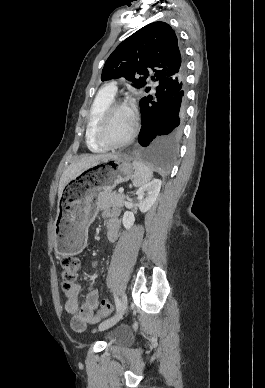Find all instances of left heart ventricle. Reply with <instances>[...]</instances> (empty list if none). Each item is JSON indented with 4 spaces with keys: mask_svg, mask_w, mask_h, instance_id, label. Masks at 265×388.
<instances>
[{
    "mask_svg": "<svg viewBox=\"0 0 265 388\" xmlns=\"http://www.w3.org/2000/svg\"><path fill=\"white\" fill-rule=\"evenodd\" d=\"M132 120L127 109H116L110 112L103 124L102 135L109 141H118L126 136Z\"/></svg>",
    "mask_w": 265,
    "mask_h": 388,
    "instance_id": "1",
    "label": "left heart ventricle"
}]
</instances>
